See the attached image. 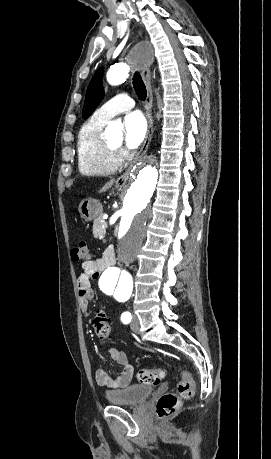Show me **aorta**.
Listing matches in <instances>:
<instances>
[{
	"instance_id": "aorta-1",
	"label": "aorta",
	"mask_w": 271,
	"mask_h": 459,
	"mask_svg": "<svg viewBox=\"0 0 271 459\" xmlns=\"http://www.w3.org/2000/svg\"><path fill=\"white\" fill-rule=\"evenodd\" d=\"M150 56L146 46H138L132 54L134 63H141ZM129 65L118 63L107 72V81L119 85L129 76ZM121 126L110 123L107 133H119ZM155 158L146 156L133 167L131 184L121 198L119 211L117 259L110 261L99 279V287L107 295H129L133 289V278L124 266L134 262L145 237L147 223L152 216L151 198L158 181Z\"/></svg>"
}]
</instances>
